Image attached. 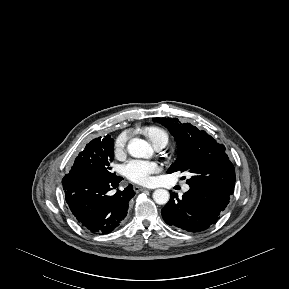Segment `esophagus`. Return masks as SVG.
<instances>
[{
  "mask_svg": "<svg viewBox=\"0 0 289 289\" xmlns=\"http://www.w3.org/2000/svg\"><path fill=\"white\" fill-rule=\"evenodd\" d=\"M133 189H134L135 192L150 190V189H147V188H145V187L138 186V185H135V186L133 187Z\"/></svg>",
  "mask_w": 289,
  "mask_h": 289,
  "instance_id": "34e87169",
  "label": "esophagus"
}]
</instances>
